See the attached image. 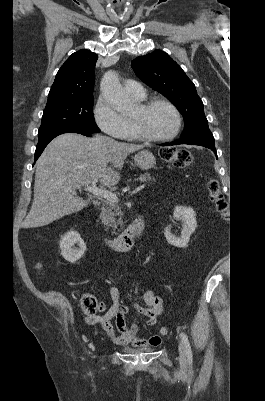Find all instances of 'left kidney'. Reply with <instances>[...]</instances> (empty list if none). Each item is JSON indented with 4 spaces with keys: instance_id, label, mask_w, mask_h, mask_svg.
Returning a JSON list of instances; mask_svg holds the SVG:
<instances>
[{
    "instance_id": "1",
    "label": "left kidney",
    "mask_w": 265,
    "mask_h": 401,
    "mask_svg": "<svg viewBox=\"0 0 265 401\" xmlns=\"http://www.w3.org/2000/svg\"><path fill=\"white\" fill-rule=\"evenodd\" d=\"M175 221H182V231L180 237L172 235L169 229H164V237L167 243L174 245V247H187L190 235L194 233L197 227L196 215L190 207H175L174 215Z\"/></svg>"
}]
</instances>
